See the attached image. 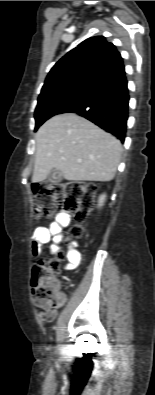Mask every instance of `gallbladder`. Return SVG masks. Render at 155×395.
I'll use <instances>...</instances> for the list:
<instances>
[{
  "label": "gallbladder",
  "instance_id": "bac80fb5",
  "mask_svg": "<svg viewBox=\"0 0 155 395\" xmlns=\"http://www.w3.org/2000/svg\"><path fill=\"white\" fill-rule=\"evenodd\" d=\"M63 175L59 170L52 169L47 176V180L52 184H58L62 181Z\"/></svg>",
  "mask_w": 155,
  "mask_h": 395
}]
</instances>
